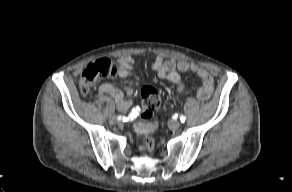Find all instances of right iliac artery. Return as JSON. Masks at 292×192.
<instances>
[{
	"instance_id": "right-iliac-artery-1",
	"label": "right iliac artery",
	"mask_w": 292,
	"mask_h": 192,
	"mask_svg": "<svg viewBox=\"0 0 292 192\" xmlns=\"http://www.w3.org/2000/svg\"><path fill=\"white\" fill-rule=\"evenodd\" d=\"M139 111H140V108L136 107L132 110V113H129V115H126V116H129L130 122H135L137 120V116H138Z\"/></svg>"
}]
</instances>
